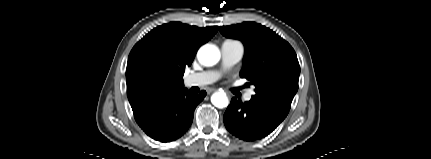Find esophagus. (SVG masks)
Here are the masks:
<instances>
[{
  "label": "esophagus",
  "mask_w": 431,
  "mask_h": 159,
  "mask_svg": "<svg viewBox=\"0 0 431 159\" xmlns=\"http://www.w3.org/2000/svg\"><path fill=\"white\" fill-rule=\"evenodd\" d=\"M215 91V89L214 88H209V89H207V93L208 94H210V93H212V92H214Z\"/></svg>",
  "instance_id": "obj_1"
}]
</instances>
